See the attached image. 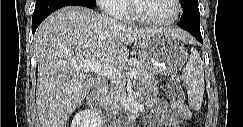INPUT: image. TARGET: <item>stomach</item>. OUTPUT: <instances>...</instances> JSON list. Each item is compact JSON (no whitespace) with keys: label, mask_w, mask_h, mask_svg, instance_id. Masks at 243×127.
I'll use <instances>...</instances> for the list:
<instances>
[{"label":"stomach","mask_w":243,"mask_h":127,"mask_svg":"<svg viewBox=\"0 0 243 127\" xmlns=\"http://www.w3.org/2000/svg\"><path fill=\"white\" fill-rule=\"evenodd\" d=\"M140 61L153 74H174L186 63L188 53L181 41L167 32H154L138 45Z\"/></svg>","instance_id":"1"}]
</instances>
